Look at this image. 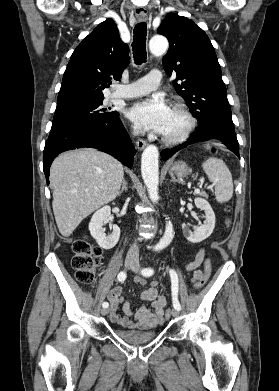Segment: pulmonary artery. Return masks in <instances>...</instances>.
Listing matches in <instances>:
<instances>
[{
    "instance_id": "pulmonary-artery-1",
    "label": "pulmonary artery",
    "mask_w": 279,
    "mask_h": 391,
    "mask_svg": "<svg viewBox=\"0 0 279 391\" xmlns=\"http://www.w3.org/2000/svg\"><path fill=\"white\" fill-rule=\"evenodd\" d=\"M159 71H151L136 82L128 85H117L112 93L113 98H134L148 94L157 89L161 83Z\"/></svg>"
}]
</instances>
